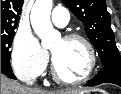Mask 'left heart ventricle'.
Here are the masks:
<instances>
[{
	"label": "left heart ventricle",
	"instance_id": "left-heart-ventricle-1",
	"mask_svg": "<svg viewBox=\"0 0 121 94\" xmlns=\"http://www.w3.org/2000/svg\"><path fill=\"white\" fill-rule=\"evenodd\" d=\"M59 74L68 80L82 77L88 67V53L80 41L58 39L51 47Z\"/></svg>",
	"mask_w": 121,
	"mask_h": 94
}]
</instances>
